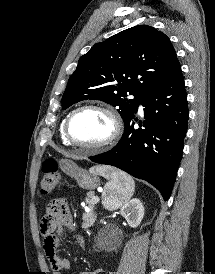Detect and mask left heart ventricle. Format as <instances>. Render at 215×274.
Masks as SVG:
<instances>
[{"label": "left heart ventricle", "instance_id": "1", "mask_svg": "<svg viewBox=\"0 0 215 274\" xmlns=\"http://www.w3.org/2000/svg\"><path fill=\"white\" fill-rule=\"evenodd\" d=\"M112 130L109 117L97 110H84L75 115L70 131L73 138L84 144H95L106 139Z\"/></svg>", "mask_w": 215, "mask_h": 274}]
</instances>
